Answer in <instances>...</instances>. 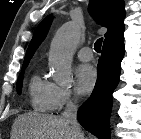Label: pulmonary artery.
Returning <instances> with one entry per match:
<instances>
[{
	"mask_svg": "<svg viewBox=\"0 0 141 139\" xmlns=\"http://www.w3.org/2000/svg\"><path fill=\"white\" fill-rule=\"evenodd\" d=\"M77 57L84 62L90 61L93 58L92 50L89 47H84L78 51Z\"/></svg>",
	"mask_w": 141,
	"mask_h": 139,
	"instance_id": "e3ab8cb5",
	"label": "pulmonary artery"
}]
</instances>
